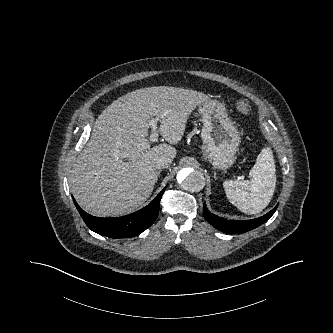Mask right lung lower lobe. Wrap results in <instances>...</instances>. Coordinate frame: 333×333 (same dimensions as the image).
Instances as JSON below:
<instances>
[{"instance_id":"98d812e1","label":"right lung lower lobe","mask_w":333,"mask_h":333,"mask_svg":"<svg viewBox=\"0 0 333 333\" xmlns=\"http://www.w3.org/2000/svg\"><path fill=\"white\" fill-rule=\"evenodd\" d=\"M164 191L165 189L143 209L119 218H100L89 215L72 198L84 222L92 231L117 239L139 235L153 224L159 214V204Z\"/></svg>"}]
</instances>
